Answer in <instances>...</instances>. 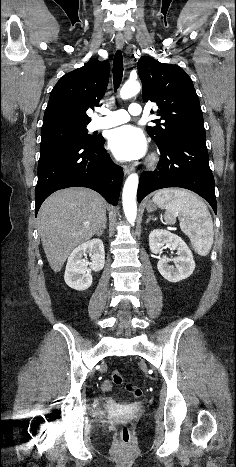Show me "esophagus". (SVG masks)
<instances>
[{
	"instance_id": "34e87169",
	"label": "esophagus",
	"mask_w": 236,
	"mask_h": 467,
	"mask_svg": "<svg viewBox=\"0 0 236 467\" xmlns=\"http://www.w3.org/2000/svg\"><path fill=\"white\" fill-rule=\"evenodd\" d=\"M124 46V40L122 37H116V47L117 49H122ZM132 167L128 165L123 166V171L127 175L132 172Z\"/></svg>"
}]
</instances>
